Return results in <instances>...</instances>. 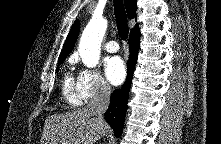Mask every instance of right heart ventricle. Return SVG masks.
<instances>
[{
    "instance_id": "obj_1",
    "label": "right heart ventricle",
    "mask_w": 221,
    "mask_h": 144,
    "mask_svg": "<svg viewBox=\"0 0 221 144\" xmlns=\"http://www.w3.org/2000/svg\"><path fill=\"white\" fill-rule=\"evenodd\" d=\"M62 94L64 100L71 106H78L82 100L78 92L77 81L70 73H66L62 84Z\"/></svg>"
}]
</instances>
